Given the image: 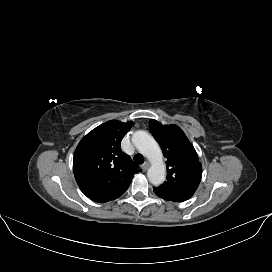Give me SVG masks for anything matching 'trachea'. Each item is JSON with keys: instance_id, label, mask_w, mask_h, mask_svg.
Returning <instances> with one entry per match:
<instances>
[{"instance_id": "3493384b", "label": "trachea", "mask_w": 272, "mask_h": 272, "mask_svg": "<svg viewBox=\"0 0 272 272\" xmlns=\"http://www.w3.org/2000/svg\"><path fill=\"white\" fill-rule=\"evenodd\" d=\"M134 162H135L136 164H143V163H144V158H143V156H142L141 154H136V155L134 156Z\"/></svg>"}]
</instances>
